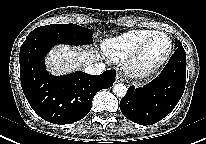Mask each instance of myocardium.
I'll use <instances>...</instances> for the list:
<instances>
[{
    "label": "myocardium",
    "instance_id": "1",
    "mask_svg": "<svg viewBox=\"0 0 206 144\" xmlns=\"http://www.w3.org/2000/svg\"><path fill=\"white\" fill-rule=\"evenodd\" d=\"M163 36L168 40V49L165 55L160 58L158 61L152 64H146L143 61L144 54L151 44V42L157 38ZM173 51V42L171 37L164 32H156L153 35L149 36L140 46L127 58L126 68L132 76L135 77H146L156 71H158L170 58Z\"/></svg>",
    "mask_w": 206,
    "mask_h": 144
}]
</instances>
